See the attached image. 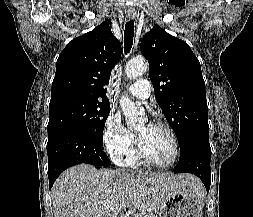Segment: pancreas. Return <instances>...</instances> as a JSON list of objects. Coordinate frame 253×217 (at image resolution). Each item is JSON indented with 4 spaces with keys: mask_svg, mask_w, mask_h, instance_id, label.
<instances>
[{
    "mask_svg": "<svg viewBox=\"0 0 253 217\" xmlns=\"http://www.w3.org/2000/svg\"><path fill=\"white\" fill-rule=\"evenodd\" d=\"M136 217H154V215L153 214H145V215L140 214Z\"/></svg>",
    "mask_w": 253,
    "mask_h": 217,
    "instance_id": "obj_1",
    "label": "pancreas"
}]
</instances>
